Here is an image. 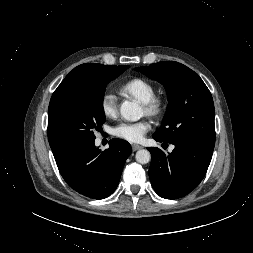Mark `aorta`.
Here are the masks:
<instances>
[{
	"label": "aorta",
	"instance_id": "aorta-1",
	"mask_svg": "<svg viewBox=\"0 0 253 253\" xmlns=\"http://www.w3.org/2000/svg\"><path fill=\"white\" fill-rule=\"evenodd\" d=\"M120 114L125 120L137 121L142 117L143 112L137 102L124 101L120 106ZM135 158L138 163L147 164L151 159V155L148 150L141 149L136 152Z\"/></svg>",
	"mask_w": 253,
	"mask_h": 253
}]
</instances>
